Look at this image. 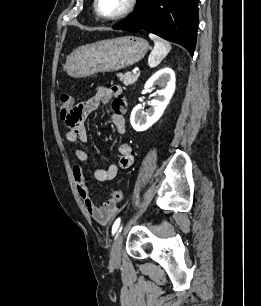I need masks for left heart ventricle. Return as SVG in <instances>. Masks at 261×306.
I'll return each mask as SVG.
<instances>
[{
	"instance_id": "left-heart-ventricle-1",
	"label": "left heart ventricle",
	"mask_w": 261,
	"mask_h": 306,
	"mask_svg": "<svg viewBox=\"0 0 261 306\" xmlns=\"http://www.w3.org/2000/svg\"><path fill=\"white\" fill-rule=\"evenodd\" d=\"M127 0H99V11L105 16L119 13L126 5Z\"/></svg>"
}]
</instances>
